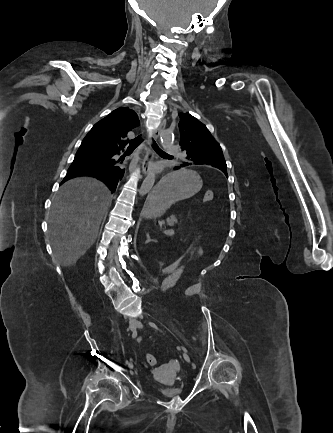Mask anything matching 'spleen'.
Returning <instances> with one entry per match:
<instances>
[{
  "instance_id": "3e777b00",
  "label": "spleen",
  "mask_w": 333,
  "mask_h": 433,
  "mask_svg": "<svg viewBox=\"0 0 333 433\" xmlns=\"http://www.w3.org/2000/svg\"><path fill=\"white\" fill-rule=\"evenodd\" d=\"M168 176H173V175H168ZM159 183H160V181H159ZM167 234L171 235L172 232H171V231H168Z\"/></svg>"
}]
</instances>
